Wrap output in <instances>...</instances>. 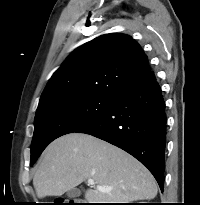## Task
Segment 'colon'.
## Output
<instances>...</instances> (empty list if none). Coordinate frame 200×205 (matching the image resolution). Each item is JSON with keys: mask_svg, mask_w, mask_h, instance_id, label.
Returning <instances> with one entry per match:
<instances>
[{"mask_svg": "<svg viewBox=\"0 0 200 205\" xmlns=\"http://www.w3.org/2000/svg\"><path fill=\"white\" fill-rule=\"evenodd\" d=\"M52 205H82L79 199L63 198Z\"/></svg>", "mask_w": 200, "mask_h": 205, "instance_id": "obj_1", "label": "colon"}]
</instances>
